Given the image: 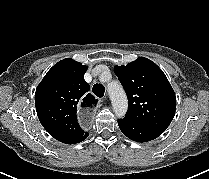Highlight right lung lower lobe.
<instances>
[{"label":"right lung lower lobe","instance_id":"obj_1","mask_svg":"<svg viewBox=\"0 0 209 179\" xmlns=\"http://www.w3.org/2000/svg\"><path fill=\"white\" fill-rule=\"evenodd\" d=\"M87 136H88V133H86V135L79 142L83 141L85 138H87Z\"/></svg>","mask_w":209,"mask_h":179}]
</instances>
